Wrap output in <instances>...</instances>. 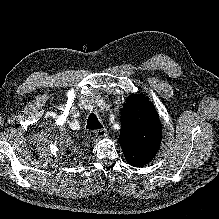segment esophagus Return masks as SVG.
<instances>
[{
  "mask_svg": "<svg viewBox=\"0 0 219 219\" xmlns=\"http://www.w3.org/2000/svg\"><path fill=\"white\" fill-rule=\"evenodd\" d=\"M95 135L98 138H103V137L107 136V129L106 128L98 129L95 131Z\"/></svg>",
  "mask_w": 219,
  "mask_h": 219,
  "instance_id": "esophagus-1",
  "label": "esophagus"
}]
</instances>
